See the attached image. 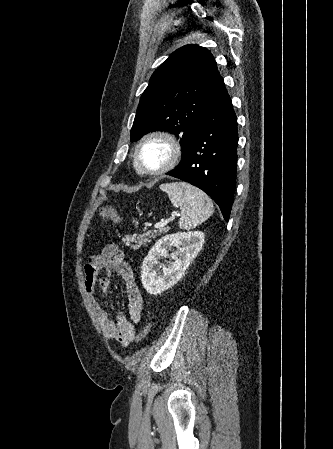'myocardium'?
Returning <instances> with one entry per match:
<instances>
[{
    "label": "myocardium",
    "mask_w": 333,
    "mask_h": 449,
    "mask_svg": "<svg viewBox=\"0 0 333 449\" xmlns=\"http://www.w3.org/2000/svg\"><path fill=\"white\" fill-rule=\"evenodd\" d=\"M151 141H161L168 147V158L166 162L157 169H149L145 167L140 159L141 149L146 143ZM181 155V145L172 134L165 131H152L145 134L136 144L134 150V163L139 174L148 177H156L163 175L173 169L179 162Z\"/></svg>",
    "instance_id": "myocardium-1"
}]
</instances>
